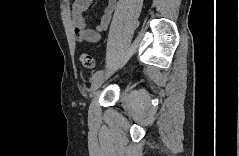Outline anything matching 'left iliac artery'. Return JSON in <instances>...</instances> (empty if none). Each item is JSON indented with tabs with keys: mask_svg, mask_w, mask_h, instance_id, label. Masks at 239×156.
<instances>
[{
	"mask_svg": "<svg viewBox=\"0 0 239 156\" xmlns=\"http://www.w3.org/2000/svg\"><path fill=\"white\" fill-rule=\"evenodd\" d=\"M101 74H103V70H98V71H96L93 75H92V77H91V81H93V80H95L98 76H100Z\"/></svg>",
	"mask_w": 239,
	"mask_h": 156,
	"instance_id": "1",
	"label": "left iliac artery"
}]
</instances>
